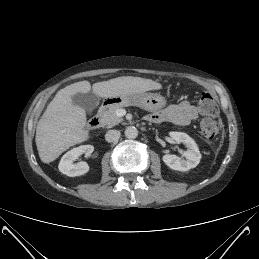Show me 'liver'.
Segmentation results:
<instances>
[{"mask_svg": "<svg viewBox=\"0 0 259 259\" xmlns=\"http://www.w3.org/2000/svg\"><path fill=\"white\" fill-rule=\"evenodd\" d=\"M161 88L158 82L133 76L117 77L92 85L93 93L101 98ZM90 90L88 81H80L59 90L49 103L36 128L35 142L42 162L50 163L71 146L88 139V131L84 129L86 112L73 104L72 95L88 93Z\"/></svg>", "mask_w": 259, "mask_h": 259, "instance_id": "1", "label": "liver"}]
</instances>
